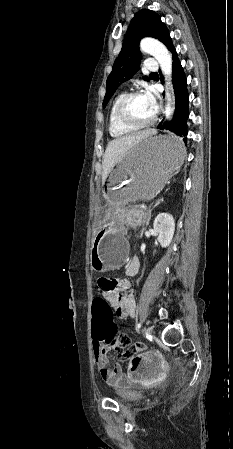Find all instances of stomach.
I'll list each match as a JSON object with an SVG mask.
<instances>
[{
  "mask_svg": "<svg viewBox=\"0 0 233 449\" xmlns=\"http://www.w3.org/2000/svg\"><path fill=\"white\" fill-rule=\"evenodd\" d=\"M185 148L179 137L150 136L132 147L109 173L104 196L111 205L150 200L165 186L182 164ZM91 255L96 272L119 269L128 254L124 223L112 217L98 223Z\"/></svg>",
  "mask_w": 233,
  "mask_h": 449,
  "instance_id": "obj_1",
  "label": "stomach"
}]
</instances>
